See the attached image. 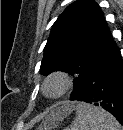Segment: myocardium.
I'll return each mask as SVG.
<instances>
[{
    "instance_id": "f54148a6",
    "label": "myocardium",
    "mask_w": 123,
    "mask_h": 130,
    "mask_svg": "<svg viewBox=\"0 0 123 130\" xmlns=\"http://www.w3.org/2000/svg\"><path fill=\"white\" fill-rule=\"evenodd\" d=\"M55 84L54 90L50 89V86ZM72 77L65 71H54L50 73L43 82V92L50 98H60L66 94L72 87Z\"/></svg>"
}]
</instances>
